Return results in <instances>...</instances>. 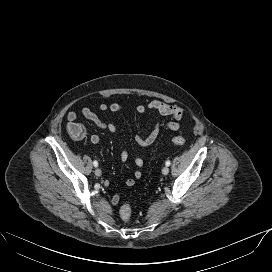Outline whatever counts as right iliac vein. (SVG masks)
I'll return each instance as SVG.
<instances>
[{
	"mask_svg": "<svg viewBox=\"0 0 272 272\" xmlns=\"http://www.w3.org/2000/svg\"><path fill=\"white\" fill-rule=\"evenodd\" d=\"M101 174H102L101 170L99 168H96L95 175L99 177V176H101Z\"/></svg>",
	"mask_w": 272,
	"mask_h": 272,
	"instance_id": "right-iliac-vein-1",
	"label": "right iliac vein"
}]
</instances>
